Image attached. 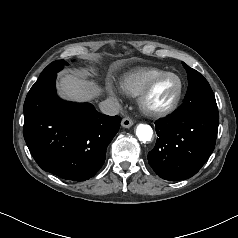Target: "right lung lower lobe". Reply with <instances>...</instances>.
<instances>
[{"instance_id": "98d812e1", "label": "right lung lower lobe", "mask_w": 238, "mask_h": 238, "mask_svg": "<svg viewBox=\"0 0 238 238\" xmlns=\"http://www.w3.org/2000/svg\"><path fill=\"white\" fill-rule=\"evenodd\" d=\"M57 73L40 75L24 103L23 134L37 164L63 179L84 181L102 167L121 117L56 95Z\"/></svg>"}]
</instances>
